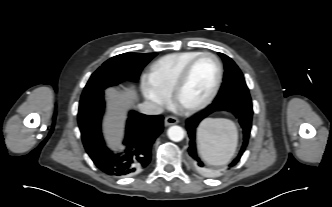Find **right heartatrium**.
I'll return each mask as SVG.
<instances>
[{
	"label": "right heart atrium",
	"instance_id": "d8ad5b80",
	"mask_svg": "<svg viewBox=\"0 0 332 207\" xmlns=\"http://www.w3.org/2000/svg\"><path fill=\"white\" fill-rule=\"evenodd\" d=\"M142 91L148 100L152 101L160 108L165 107L169 102V96L154 88L148 81H143Z\"/></svg>",
	"mask_w": 332,
	"mask_h": 207
}]
</instances>
